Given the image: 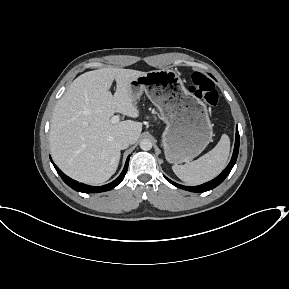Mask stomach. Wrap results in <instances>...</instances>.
<instances>
[{
	"label": "stomach",
	"instance_id": "stomach-1",
	"mask_svg": "<svg viewBox=\"0 0 289 289\" xmlns=\"http://www.w3.org/2000/svg\"><path fill=\"white\" fill-rule=\"evenodd\" d=\"M136 102L145 92L166 123L162 135L165 157L170 163H183L198 156L211 142L212 124L206 105L184 86L172 69L153 70L130 83Z\"/></svg>",
	"mask_w": 289,
	"mask_h": 289
}]
</instances>
